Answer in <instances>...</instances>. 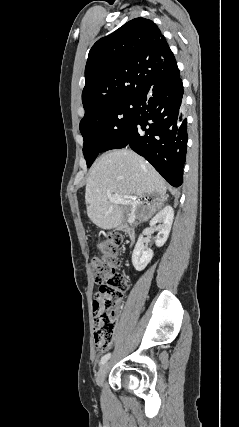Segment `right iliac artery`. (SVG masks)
Instances as JSON below:
<instances>
[{
  "mask_svg": "<svg viewBox=\"0 0 239 427\" xmlns=\"http://www.w3.org/2000/svg\"><path fill=\"white\" fill-rule=\"evenodd\" d=\"M110 356H111V354H110V353H107L106 355H104V356L101 358L100 365H102V364L106 363V362L108 361V359L110 358Z\"/></svg>",
  "mask_w": 239,
  "mask_h": 427,
  "instance_id": "82829eb1",
  "label": "right iliac artery"
}]
</instances>
